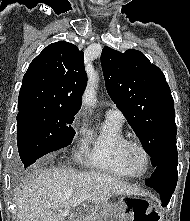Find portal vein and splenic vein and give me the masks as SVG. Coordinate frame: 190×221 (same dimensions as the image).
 Returning <instances> with one entry per match:
<instances>
[{
  "label": "portal vein and splenic vein",
  "mask_w": 190,
  "mask_h": 221,
  "mask_svg": "<svg viewBox=\"0 0 190 221\" xmlns=\"http://www.w3.org/2000/svg\"><path fill=\"white\" fill-rule=\"evenodd\" d=\"M89 197H90V194H85L79 200L72 202V204L68 208H66L59 216H62V217L67 216L71 208L78 206L80 203H82L84 200L88 199Z\"/></svg>",
  "instance_id": "obj_1"
}]
</instances>
